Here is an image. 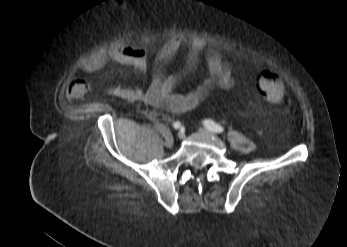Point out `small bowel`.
I'll return each mask as SVG.
<instances>
[{
  "instance_id": "1",
  "label": "small bowel",
  "mask_w": 347,
  "mask_h": 247,
  "mask_svg": "<svg viewBox=\"0 0 347 247\" xmlns=\"http://www.w3.org/2000/svg\"><path fill=\"white\" fill-rule=\"evenodd\" d=\"M183 46L184 43L180 39L172 38L159 47L153 58V74L147 89L140 86L114 85L109 88L111 94L129 102L140 101L152 107L149 117L156 120L161 116V110L172 113L189 112L196 109L213 89L217 87L231 89L234 86L232 66L218 51L206 49L200 41H191L187 44L185 61L180 71L166 74V65L183 49ZM203 53H205L207 76L192 90L183 94L175 93L181 79L194 71ZM110 61L133 67L137 77H144L148 66L144 48L118 46L83 59L80 68L83 72L91 74L103 69ZM67 92L72 97H81L85 94V85L82 82L73 83Z\"/></svg>"
}]
</instances>
